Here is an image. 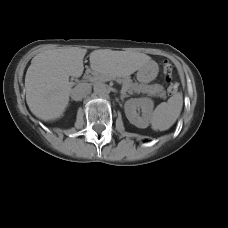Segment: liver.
Segmentation results:
<instances>
[{
	"mask_svg": "<svg viewBox=\"0 0 228 228\" xmlns=\"http://www.w3.org/2000/svg\"><path fill=\"white\" fill-rule=\"evenodd\" d=\"M87 50L77 47L37 54L25 76L27 105L37 118L50 121L62 116L69 103V77H80ZM91 69L108 77L127 78L146 67L151 58L143 53L95 50L90 53Z\"/></svg>",
	"mask_w": 228,
	"mask_h": 228,
	"instance_id": "1",
	"label": "liver"
}]
</instances>
